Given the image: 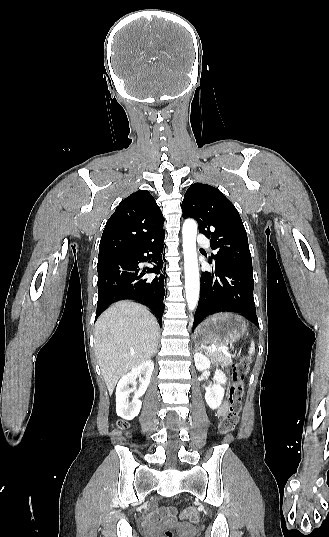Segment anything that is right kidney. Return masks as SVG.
<instances>
[{"instance_id": "obj_1", "label": "right kidney", "mask_w": 329, "mask_h": 537, "mask_svg": "<svg viewBox=\"0 0 329 537\" xmlns=\"http://www.w3.org/2000/svg\"><path fill=\"white\" fill-rule=\"evenodd\" d=\"M154 369V363L147 360L129 373L124 375L117 384L116 388V412L117 415L126 420L134 419L140 412L142 402L139 400L143 396L150 383L151 375ZM137 376H142L140 379V387L132 390L129 385L136 384ZM134 392L131 402H129V394Z\"/></svg>"}]
</instances>
